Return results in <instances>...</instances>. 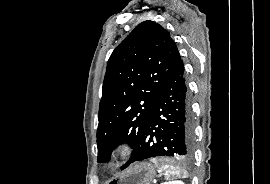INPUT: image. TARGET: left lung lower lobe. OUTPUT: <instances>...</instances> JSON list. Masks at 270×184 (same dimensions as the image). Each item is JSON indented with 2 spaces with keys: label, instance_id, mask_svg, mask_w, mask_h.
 Wrapping results in <instances>:
<instances>
[{
  "label": "left lung lower lobe",
  "instance_id": "0a47b994",
  "mask_svg": "<svg viewBox=\"0 0 270 184\" xmlns=\"http://www.w3.org/2000/svg\"><path fill=\"white\" fill-rule=\"evenodd\" d=\"M193 146L190 97L180 60L157 97L134 156L123 169L132 162L159 156L190 161Z\"/></svg>",
  "mask_w": 270,
  "mask_h": 184
}]
</instances>
